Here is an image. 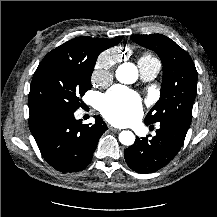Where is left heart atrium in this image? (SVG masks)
<instances>
[{"label": "left heart atrium", "mask_w": 217, "mask_h": 217, "mask_svg": "<svg viewBox=\"0 0 217 217\" xmlns=\"http://www.w3.org/2000/svg\"><path fill=\"white\" fill-rule=\"evenodd\" d=\"M100 111L109 122L128 125L140 117L142 100L135 92L118 85L104 95Z\"/></svg>", "instance_id": "1"}]
</instances>
